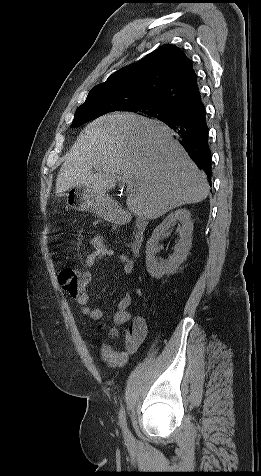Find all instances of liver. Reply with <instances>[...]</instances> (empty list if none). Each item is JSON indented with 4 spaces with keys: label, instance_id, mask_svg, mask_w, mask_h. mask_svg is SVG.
Listing matches in <instances>:
<instances>
[{
    "label": "liver",
    "instance_id": "obj_1",
    "mask_svg": "<svg viewBox=\"0 0 261 476\" xmlns=\"http://www.w3.org/2000/svg\"><path fill=\"white\" fill-rule=\"evenodd\" d=\"M96 168L98 173H93ZM133 182L128 209L144 219L207 198L209 184L172 130L157 120L134 113L103 115L77 137L56 179V194L86 185L106 194L117 178Z\"/></svg>",
    "mask_w": 261,
    "mask_h": 476
}]
</instances>
